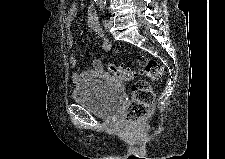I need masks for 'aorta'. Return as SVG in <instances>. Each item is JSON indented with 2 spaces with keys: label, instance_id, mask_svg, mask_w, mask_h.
<instances>
[{
  "label": "aorta",
  "instance_id": "obj_1",
  "mask_svg": "<svg viewBox=\"0 0 225 159\" xmlns=\"http://www.w3.org/2000/svg\"><path fill=\"white\" fill-rule=\"evenodd\" d=\"M95 2H96L97 5H99V6H105V4H106V1H105V0H96Z\"/></svg>",
  "mask_w": 225,
  "mask_h": 159
}]
</instances>
